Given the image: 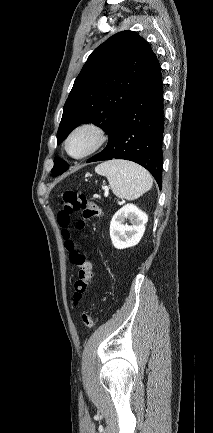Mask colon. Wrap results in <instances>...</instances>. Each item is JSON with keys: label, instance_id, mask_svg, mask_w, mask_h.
Segmentation results:
<instances>
[{"label": "colon", "instance_id": "1", "mask_svg": "<svg viewBox=\"0 0 213 433\" xmlns=\"http://www.w3.org/2000/svg\"><path fill=\"white\" fill-rule=\"evenodd\" d=\"M78 211L81 212L82 218L76 222L75 228L80 234H84L89 221L100 215V209L84 192L66 190L62 195L61 209L57 215V220L63 229L62 233L66 249L69 251L70 261L78 268L73 290L75 304L82 299L92 277L91 264L87 261L85 254L78 250L77 244L71 238V233L68 230L71 216ZM82 320L87 328L92 327L93 318L90 314H84Z\"/></svg>", "mask_w": 213, "mask_h": 433}]
</instances>
